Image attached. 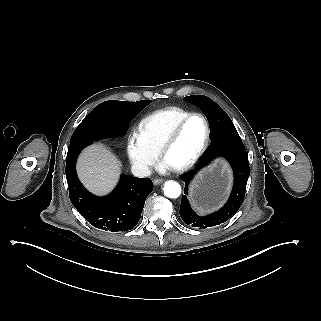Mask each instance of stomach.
I'll list each match as a JSON object with an SVG mask.
<instances>
[{"instance_id": "1", "label": "stomach", "mask_w": 321, "mask_h": 321, "mask_svg": "<svg viewBox=\"0 0 321 321\" xmlns=\"http://www.w3.org/2000/svg\"><path fill=\"white\" fill-rule=\"evenodd\" d=\"M229 186V174L222 165L204 172L191 191L193 203L201 209H209L219 204Z\"/></svg>"}]
</instances>
